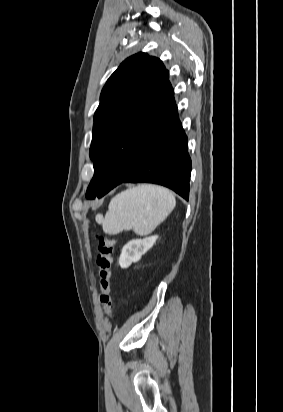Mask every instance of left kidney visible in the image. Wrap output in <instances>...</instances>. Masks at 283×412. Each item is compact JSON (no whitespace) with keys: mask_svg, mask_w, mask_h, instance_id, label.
Here are the masks:
<instances>
[{"mask_svg":"<svg viewBox=\"0 0 283 412\" xmlns=\"http://www.w3.org/2000/svg\"><path fill=\"white\" fill-rule=\"evenodd\" d=\"M158 239L157 235L143 239H133L122 249L119 265L121 268H128L133 262H138L141 257L154 245Z\"/></svg>","mask_w":283,"mask_h":412,"instance_id":"left-kidney-1","label":"left kidney"}]
</instances>
